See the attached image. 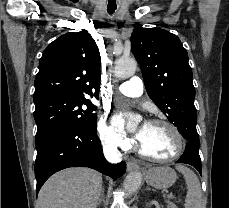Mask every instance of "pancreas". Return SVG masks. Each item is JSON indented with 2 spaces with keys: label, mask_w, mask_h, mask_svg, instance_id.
<instances>
[{
  "label": "pancreas",
  "mask_w": 229,
  "mask_h": 208,
  "mask_svg": "<svg viewBox=\"0 0 229 208\" xmlns=\"http://www.w3.org/2000/svg\"><path fill=\"white\" fill-rule=\"evenodd\" d=\"M168 208H176L175 204H169Z\"/></svg>",
  "instance_id": "pancreas-1"
}]
</instances>
